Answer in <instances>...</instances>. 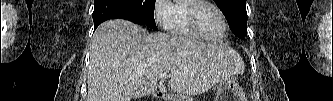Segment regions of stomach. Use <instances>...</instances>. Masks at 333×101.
I'll return each mask as SVG.
<instances>
[{
  "mask_svg": "<svg viewBox=\"0 0 333 101\" xmlns=\"http://www.w3.org/2000/svg\"><path fill=\"white\" fill-rule=\"evenodd\" d=\"M215 101H247L236 76H231L217 83Z\"/></svg>",
  "mask_w": 333,
  "mask_h": 101,
  "instance_id": "1",
  "label": "stomach"
}]
</instances>
